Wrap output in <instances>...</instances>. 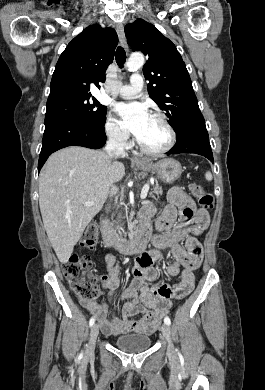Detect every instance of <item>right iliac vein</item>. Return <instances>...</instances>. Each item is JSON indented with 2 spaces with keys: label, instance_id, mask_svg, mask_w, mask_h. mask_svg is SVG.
I'll use <instances>...</instances> for the list:
<instances>
[{
  "label": "right iliac vein",
  "instance_id": "63e3f726",
  "mask_svg": "<svg viewBox=\"0 0 265 390\" xmlns=\"http://www.w3.org/2000/svg\"><path fill=\"white\" fill-rule=\"evenodd\" d=\"M98 334H99V326L98 324H94L91 328L89 342L86 347V352H85L86 357H90L93 355Z\"/></svg>",
  "mask_w": 265,
  "mask_h": 390
}]
</instances>
